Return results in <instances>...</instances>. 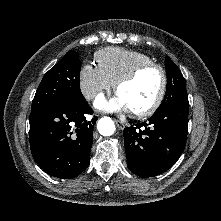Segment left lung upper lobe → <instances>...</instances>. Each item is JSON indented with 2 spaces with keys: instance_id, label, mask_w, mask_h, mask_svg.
<instances>
[{
  "instance_id": "5c2ea615",
  "label": "left lung upper lobe",
  "mask_w": 221,
  "mask_h": 221,
  "mask_svg": "<svg viewBox=\"0 0 221 221\" xmlns=\"http://www.w3.org/2000/svg\"><path fill=\"white\" fill-rule=\"evenodd\" d=\"M165 68L167 71L168 79L167 89L161 105L155 112L169 107L178 100L188 99L183 75L169 57H166L165 59Z\"/></svg>"
}]
</instances>
